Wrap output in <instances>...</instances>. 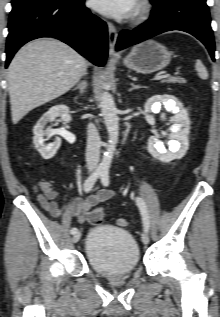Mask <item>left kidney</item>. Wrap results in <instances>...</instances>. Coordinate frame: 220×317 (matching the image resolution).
Instances as JSON below:
<instances>
[{
	"instance_id": "1",
	"label": "left kidney",
	"mask_w": 220,
	"mask_h": 317,
	"mask_svg": "<svg viewBox=\"0 0 220 317\" xmlns=\"http://www.w3.org/2000/svg\"><path fill=\"white\" fill-rule=\"evenodd\" d=\"M161 105L165 109L175 114L171 120L174 124L170 127L171 134L162 132L163 136H168V150L163 142L155 136L148 139V151L156 159L162 162H169L174 159H181L189 148L188 134L190 130V120L188 113L183 109L177 99L172 95H154L150 97L144 105L145 120L148 124L154 125V116L150 113H159Z\"/></svg>"
}]
</instances>
